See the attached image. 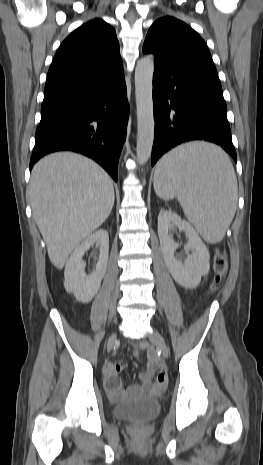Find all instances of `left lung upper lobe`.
Listing matches in <instances>:
<instances>
[{
    "instance_id": "1",
    "label": "left lung upper lobe",
    "mask_w": 263,
    "mask_h": 465,
    "mask_svg": "<svg viewBox=\"0 0 263 465\" xmlns=\"http://www.w3.org/2000/svg\"><path fill=\"white\" fill-rule=\"evenodd\" d=\"M143 52L154 54L156 62L169 67L198 69L218 75L203 39L174 17L166 16L153 23Z\"/></svg>"
}]
</instances>
